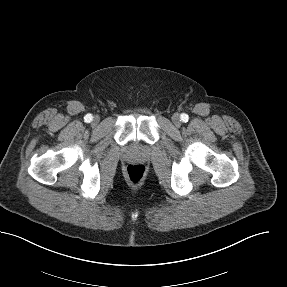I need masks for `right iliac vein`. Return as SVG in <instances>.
Wrapping results in <instances>:
<instances>
[{
  "mask_svg": "<svg viewBox=\"0 0 287 287\" xmlns=\"http://www.w3.org/2000/svg\"><path fill=\"white\" fill-rule=\"evenodd\" d=\"M99 121H100L99 116H95V117L93 118L92 124H93V125H97V124L99 123Z\"/></svg>",
  "mask_w": 287,
  "mask_h": 287,
  "instance_id": "right-iliac-vein-1",
  "label": "right iliac vein"
}]
</instances>
